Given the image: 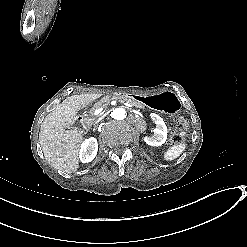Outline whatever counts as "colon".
Segmentation results:
<instances>
[{
	"label": "colon",
	"instance_id": "obj_1",
	"mask_svg": "<svg viewBox=\"0 0 247 247\" xmlns=\"http://www.w3.org/2000/svg\"><path fill=\"white\" fill-rule=\"evenodd\" d=\"M187 122L184 117H177L173 122V131L170 141L174 146H180L183 142L184 135L187 132Z\"/></svg>",
	"mask_w": 247,
	"mask_h": 247
}]
</instances>
